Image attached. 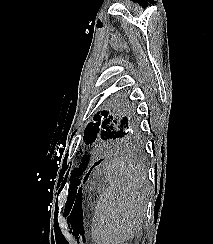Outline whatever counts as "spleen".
<instances>
[{"instance_id":"obj_1","label":"spleen","mask_w":213,"mask_h":244,"mask_svg":"<svg viewBox=\"0 0 213 244\" xmlns=\"http://www.w3.org/2000/svg\"><path fill=\"white\" fill-rule=\"evenodd\" d=\"M103 171L107 187L97 199L91 234L97 244H122L142 227L148 180L126 159L112 160Z\"/></svg>"}]
</instances>
